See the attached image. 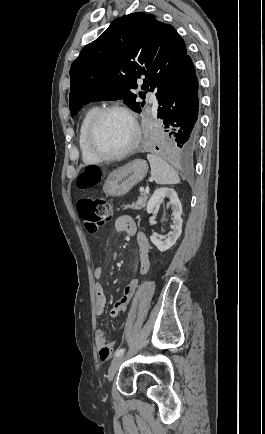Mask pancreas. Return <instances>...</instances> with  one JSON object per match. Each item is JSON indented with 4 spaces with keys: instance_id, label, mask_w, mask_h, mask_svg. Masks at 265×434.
I'll return each instance as SVG.
<instances>
[{
    "instance_id": "1",
    "label": "pancreas",
    "mask_w": 265,
    "mask_h": 434,
    "mask_svg": "<svg viewBox=\"0 0 265 434\" xmlns=\"http://www.w3.org/2000/svg\"><path fill=\"white\" fill-rule=\"evenodd\" d=\"M147 200H148V194H146V192H142V194H140L136 202H133L131 206L130 204H128V206H125L123 210H127V208H132V210H141V208H145Z\"/></svg>"
}]
</instances>
